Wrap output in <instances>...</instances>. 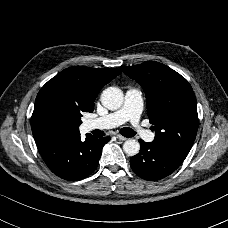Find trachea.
<instances>
[{"mask_svg":"<svg viewBox=\"0 0 228 228\" xmlns=\"http://www.w3.org/2000/svg\"><path fill=\"white\" fill-rule=\"evenodd\" d=\"M120 133L124 137H133L135 135L134 130H132L131 128H128V127L121 128Z\"/></svg>","mask_w":228,"mask_h":228,"instance_id":"trachea-1","label":"trachea"}]
</instances>
